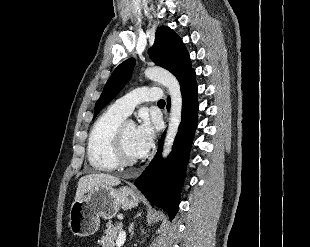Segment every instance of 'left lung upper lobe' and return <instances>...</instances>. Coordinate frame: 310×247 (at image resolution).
I'll list each match as a JSON object with an SVG mask.
<instances>
[{"mask_svg":"<svg viewBox=\"0 0 310 247\" xmlns=\"http://www.w3.org/2000/svg\"><path fill=\"white\" fill-rule=\"evenodd\" d=\"M149 52L153 61L170 71L179 82L193 70L191 68L189 53L182 39L169 27L162 26L157 29L154 45ZM134 66L135 59L130 58L114 70L95 105L94 117L130 80Z\"/></svg>","mask_w":310,"mask_h":247,"instance_id":"obj_1","label":"left lung upper lobe"}]
</instances>
